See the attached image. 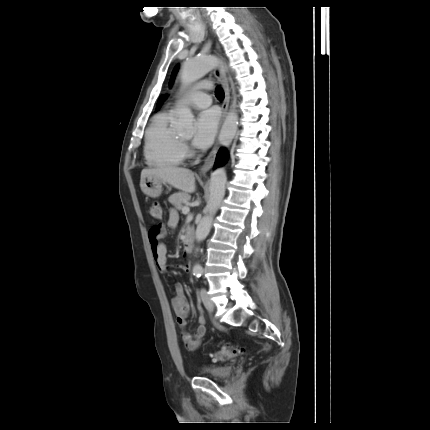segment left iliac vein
Here are the masks:
<instances>
[{
	"mask_svg": "<svg viewBox=\"0 0 430 430\" xmlns=\"http://www.w3.org/2000/svg\"><path fill=\"white\" fill-rule=\"evenodd\" d=\"M200 295L202 298V301L204 303L205 308L209 311L212 312L214 309V304L210 298V296L207 293V290L205 288H202L200 291Z\"/></svg>",
	"mask_w": 430,
	"mask_h": 430,
	"instance_id": "left-iliac-vein-1",
	"label": "left iliac vein"
}]
</instances>
